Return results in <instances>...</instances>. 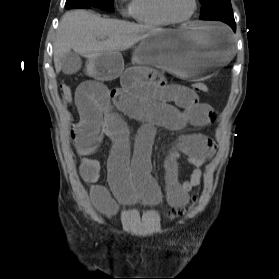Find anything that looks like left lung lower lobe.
Wrapping results in <instances>:
<instances>
[{
	"label": "left lung lower lobe",
	"instance_id": "left-lung-lower-lobe-1",
	"mask_svg": "<svg viewBox=\"0 0 279 279\" xmlns=\"http://www.w3.org/2000/svg\"><path fill=\"white\" fill-rule=\"evenodd\" d=\"M220 21L228 24L233 29L234 32L236 31V24H235L234 17L224 18V19H221Z\"/></svg>",
	"mask_w": 279,
	"mask_h": 279
}]
</instances>
